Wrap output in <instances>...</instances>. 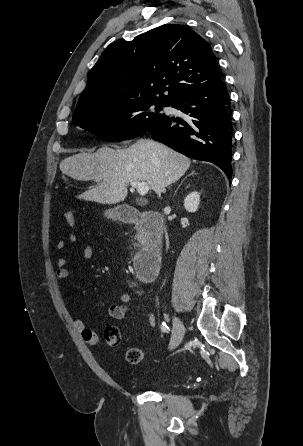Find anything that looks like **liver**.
<instances>
[{
  "mask_svg": "<svg viewBox=\"0 0 303 446\" xmlns=\"http://www.w3.org/2000/svg\"><path fill=\"white\" fill-rule=\"evenodd\" d=\"M188 157L150 139H139L127 149L107 146L95 153H79L60 162L63 174L80 181L96 182L78 199L100 204L124 201L131 181L147 182L160 195L189 169Z\"/></svg>",
  "mask_w": 303,
  "mask_h": 446,
  "instance_id": "obj_1",
  "label": "liver"
}]
</instances>
